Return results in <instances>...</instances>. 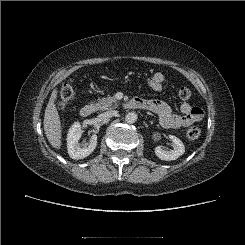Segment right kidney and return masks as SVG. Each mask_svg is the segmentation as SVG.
Listing matches in <instances>:
<instances>
[{
	"instance_id": "obj_1",
	"label": "right kidney",
	"mask_w": 245,
	"mask_h": 245,
	"mask_svg": "<svg viewBox=\"0 0 245 245\" xmlns=\"http://www.w3.org/2000/svg\"><path fill=\"white\" fill-rule=\"evenodd\" d=\"M82 136L81 125L79 122H75L69 129L67 135V148L69 156L72 159H83L89 156L97 146V135H92L90 138V144L80 145L78 141Z\"/></svg>"
}]
</instances>
